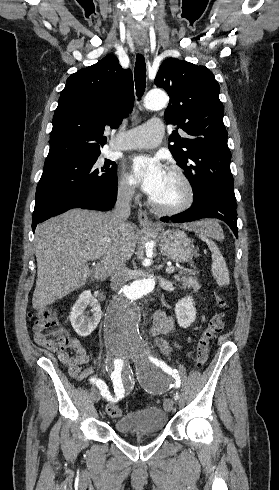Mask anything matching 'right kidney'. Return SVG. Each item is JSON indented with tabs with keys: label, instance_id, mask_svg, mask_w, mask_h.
Listing matches in <instances>:
<instances>
[{
	"label": "right kidney",
	"instance_id": "right-kidney-1",
	"mask_svg": "<svg viewBox=\"0 0 279 490\" xmlns=\"http://www.w3.org/2000/svg\"><path fill=\"white\" fill-rule=\"evenodd\" d=\"M91 306L92 316H85V310ZM102 312L101 306L97 300H94L91 296L90 290H85L80 294L78 300H76L73 308L70 312V322L73 330H75L78 336L86 338L94 332L101 320Z\"/></svg>",
	"mask_w": 279,
	"mask_h": 490
}]
</instances>
